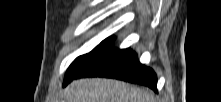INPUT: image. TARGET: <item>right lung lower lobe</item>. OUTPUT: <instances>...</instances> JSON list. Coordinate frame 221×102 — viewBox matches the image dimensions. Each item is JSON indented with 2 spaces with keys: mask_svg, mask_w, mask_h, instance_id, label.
I'll use <instances>...</instances> for the list:
<instances>
[{
  "mask_svg": "<svg viewBox=\"0 0 221 102\" xmlns=\"http://www.w3.org/2000/svg\"><path fill=\"white\" fill-rule=\"evenodd\" d=\"M92 76L116 78L145 85L157 91L156 74L152 69L141 64L137 54L131 49L107 48L83 68L65 77L63 85L66 86L76 78Z\"/></svg>",
  "mask_w": 221,
  "mask_h": 102,
  "instance_id": "right-lung-lower-lobe-1",
  "label": "right lung lower lobe"
}]
</instances>
